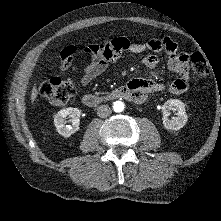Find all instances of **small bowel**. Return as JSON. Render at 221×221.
<instances>
[{"label":"small bowel","mask_w":221,"mask_h":221,"mask_svg":"<svg viewBox=\"0 0 221 221\" xmlns=\"http://www.w3.org/2000/svg\"><path fill=\"white\" fill-rule=\"evenodd\" d=\"M125 51L134 54L151 51L153 53L164 51L167 55V67L178 75V78L168 84L153 79H132L127 87L133 94L134 101L141 103L146 100L151 92L168 90L172 94L186 92L191 83L189 64L186 54L179 51V47L171 38H152L145 43H134L128 38H115L104 44H89L83 52L90 56V61L82 69L80 82L82 85L90 84L94 79L103 74L107 68L115 63ZM155 54H148L143 58V64L154 70L158 66Z\"/></svg>","instance_id":"1"}]
</instances>
